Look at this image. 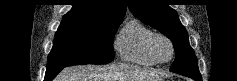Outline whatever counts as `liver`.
I'll list each match as a JSON object with an SVG mask.
<instances>
[{
    "label": "liver",
    "instance_id": "1",
    "mask_svg": "<svg viewBox=\"0 0 237 81\" xmlns=\"http://www.w3.org/2000/svg\"><path fill=\"white\" fill-rule=\"evenodd\" d=\"M163 76L154 69L79 65L63 69L56 81H153Z\"/></svg>",
    "mask_w": 237,
    "mask_h": 81
}]
</instances>
